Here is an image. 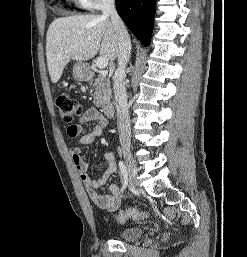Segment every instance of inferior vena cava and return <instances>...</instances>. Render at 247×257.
<instances>
[{
	"label": "inferior vena cava",
	"mask_w": 247,
	"mask_h": 257,
	"mask_svg": "<svg viewBox=\"0 0 247 257\" xmlns=\"http://www.w3.org/2000/svg\"><path fill=\"white\" fill-rule=\"evenodd\" d=\"M101 11L104 16L111 17V22L118 38V68L113 77V89L120 144L122 147L128 148L131 144V129L124 79L126 77L125 67L131 54V42L128 31L116 11L115 0H102Z\"/></svg>",
	"instance_id": "inferior-vena-cava-1"
}]
</instances>
